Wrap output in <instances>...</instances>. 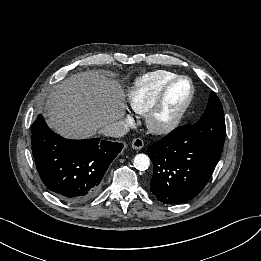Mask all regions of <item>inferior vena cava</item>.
<instances>
[{
    "label": "inferior vena cava",
    "instance_id": "inferior-vena-cava-1",
    "mask_svg": "<svg viewBox=\"0 0 261 261\" xmlns=\"http://www.w3.org/2000/svg\"><path fill=\"white\" fill-rule=\"evenodd\" d=\"M129 131L128 125L124 121H115L105 125L100 129V133L110 137H122Z\"/></svg>",
    "mask_w": 261,
    "mask_h": 261
}]
</instances>
